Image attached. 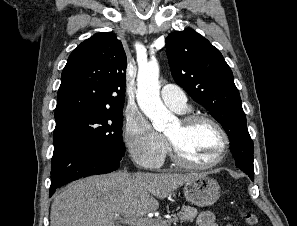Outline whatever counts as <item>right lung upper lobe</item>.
Instances as JSON below:
<instances>
[{
    "label": "right lung upper lobe",
    "mask_w": 297,
    "mask_h": 226,
    "mask_svg": "<svg viewBox=\"0 0 297 226\" xmlns=\"http://www.w3.org/2000/svg\"><path fill=\"white\" fill-rule=\"evenodd\" d=\"M127 58L121 41L101 32L70 54L61 75L55 120L86 111H121Z\"/></svg>",
    "instance_id": "right-lung-upper-lobe-1"
}]
</instances>
